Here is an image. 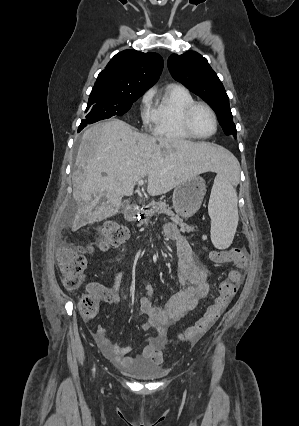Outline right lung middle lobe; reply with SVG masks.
I'll return each instance as SVG.
<instances>
[{
    "mask_svg": "<svg viewBox=\"0 0 299 426\" xmlns=\"http://www.w3.org/2000/svg\"><path fill=\"white\" fill-rule=\"evenodd\" d=\"M143 93H124L105 87H93L86 108L87 114L80 127L125 114Z\"/></svg>",
    "mask_w": 299,
    "mask_h": 426,
    "instance_id": "dd1d6c3e",
    "label": "right lung middle lobe"
}]
</instances>
